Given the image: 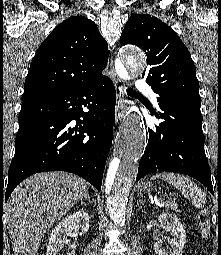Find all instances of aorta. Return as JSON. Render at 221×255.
<instances>
[{"label": "aorta", "instance_id": "762f6f07", "mask_svg": "<svg viewBox=\"0 0 221 255\" xmlns=\"http://www.w3.org/2000/svg\"><path fill=\"white\" fill-rule=\"evenodd\" d=\"M121 60L125 66L121 76L127 73L140 75L146 67L144 53L134 46H127L121 51ZM146 130L143 119L138 111L127 117L119 149L109 165L105 180L108 213L114 224L124 226L126 206L130 188L137 176L138 160L146 148Z\"/></svg>", "mask_w": 221, "mask_h": 255}]
</instances>
